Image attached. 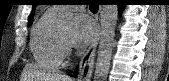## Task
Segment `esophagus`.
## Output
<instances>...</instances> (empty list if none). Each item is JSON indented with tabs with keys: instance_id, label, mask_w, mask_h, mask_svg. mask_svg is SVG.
<instances>
[{
	"instance_id": "34e87169",
	"label": "esophagus",
	"mask_w": 169,
	"mask_h": 81,
	"mask_svg": "<svg viewBox=\"0 0 169 81\" xmlns=\"http://www.w3.org/2000/svg\"><path fill=\"white\" fill-rule=\"evenodd\" d=\"M96 22H97V32L95 38L93 39L90 46L83 54L80 60L77 81H88L92 76L96 50L102 35L103 28V11L101 7L99 8L96 14Z\"/></svg>"
}]
</instances>
